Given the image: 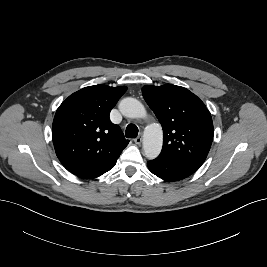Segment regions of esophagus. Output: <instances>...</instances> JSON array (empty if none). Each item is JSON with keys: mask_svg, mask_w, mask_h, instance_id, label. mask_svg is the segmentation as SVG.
<instances>
[{"mask_svg": "<svg viewBox=\"0 0 267 267\" xmlns=\"http://www.w3.org/2000/svg\"><path fill=\"white\" fill-rule=\"evenodd\" d=\"M134 142L137 144V145H140L142 143V137L141 136H138L137 138L134 139Z\"/></svg>", "mask_w": 267, "mask_h": 267, "instance_id": "obj_1", "label": "esophagus"}]
</instances>
